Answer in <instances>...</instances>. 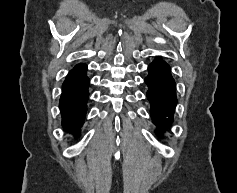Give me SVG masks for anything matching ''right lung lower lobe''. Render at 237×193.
I'll return each mask as SVG.
<instances>
[{"label":"right lung lower lobe","instance_id":"98d812e1","mask_svg":"<svg viewBox=\"0 0 237 193\" xmlns=\"http://www.w3.org/2000/svg\"><path fill=\"white\" fill-rule=\"evenodd\" d=\"M87 65L78 64L69 72L60 98L62 125L70 133H77L83 125L88 100L89 79Z\"/></svg>","mask_w":237,"mask_h":193}]
</instances>
